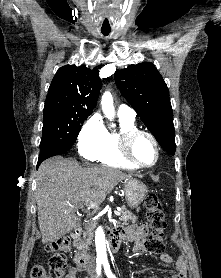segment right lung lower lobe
<instances>
[{"label":"right lung lower lobe","instance_id":"obj_1","mask_svg":"<svg viewBox=\"0 0 221 278\" xmlns=\"http://www.w3.org/2000/svg\"><path fill=\"white\" fill-rule=\"evenodd\" d=\"M70 148L71 147H67V148L60 149V150H57L55 152H52V153H49V154H46V155H43V156H39L38 163H37V168L39 167L41 162L44 161L45 159H47L49 157H52V156H55V155H61L65 152H67Z\"/></svg>","mask_w":221,"mask_h":278}]
</instances>
